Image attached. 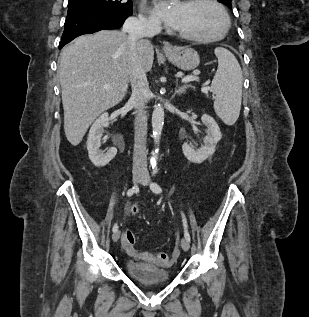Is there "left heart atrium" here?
I'll return each instance as SVG.
<instances>
[{
  "instance_id": "1",
  "label": "left heart atrium",
  "mask_w": 309,
  "mask_h": 317,
  "mask_svg": "<svg viewBox=\"0 0 309 317\" xmlns=\"http://www.w3.org/2000/svg\"><path fill=\"white\" fill-rule=\"evenodd\" d=\"M154 12L159 16L168 26L176 28L179 21V9L168 8L166 2L159 0L155 2Z\"/></svg>"
}]
</instances>
